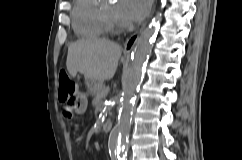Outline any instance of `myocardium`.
<instances>
[{"label": "myocardium", "mask_w": 242, "mask_h": 160, "mask_svg": "<svg viewBox=\"0 0 242 160\" xmlns=\"http://www.w3.org/2000/svg\"><path fill=\"white\" fill-rule=\"evenodd\" d=\"M99 17L105 32L118 34L124 31L125 27L114 24L101 7L99 8Z\"/></svg>", "instance_id": "f54148a6"}]
</instances>
